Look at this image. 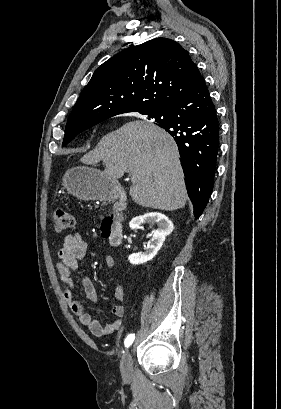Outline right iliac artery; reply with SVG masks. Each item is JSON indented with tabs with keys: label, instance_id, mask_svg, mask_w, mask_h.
I'll use <instances>...</instances> for the list:
<instances>
[{
	"label": "right iliac artery",
	"instance_id": "82829eb1",
	"mask_svg": "<svg viewBox=\"0 0 281 409\" xmlns=\"http://www.w3.org/2000/svg\"><path fill=\"white\" fill-rule=\"evenodd\" d=\"M134 338H135L134 334L128 335L127 338L125 339V346L129 347L133 343Z\"/></svg>",
	"mask_w": 281,
	"mask_h": 409
}]
</instances>
